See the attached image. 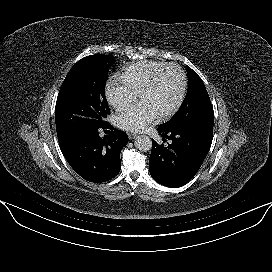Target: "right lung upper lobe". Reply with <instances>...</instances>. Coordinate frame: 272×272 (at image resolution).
Masks as SVG:
<instances>
[{
	"instance_id": "cb5924a9",
	"label": "right lung upper lobe",
	"mask_w": 272,
	"mask_h": 272,
	"mask_svg": "<svg viewBox=\"0 0 272 272\" xmlns=\"http://www.w3.org/2000/svg\"><path fill=\"white\" fill-rule=\"evenodd\" d=\"M58 141H59L60 148L64 149L67 145L70 144L72 139H58Z\"/></svg>"
}]
</instances>
